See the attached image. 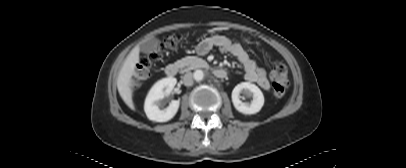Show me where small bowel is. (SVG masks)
Returning a JSON list of instances; mask_svg holds the SVG:
<instances>
[{
	"instance_id": "c3829d8e",
	"label": "small bowel",
	"mask_w": 406,
	"mask_h": 168,
	"mask_svg": "<svg viewBox=\"0 0 406 168\" xmlns=\"http://www.w3.org/2000/svg\"><path fill=\"white\" fill-rule=\"evenodd\" d=\"M213 47H219L221 52L234 56L240 62L244 70L245 80L257 83L264 90L270 88V82L266 71L259 67L258 64L250 58L240 44L235 43L224 36H213L203 40L199 44L197 52L200 55H205Z\"/></svg>"
}]
</instances>
